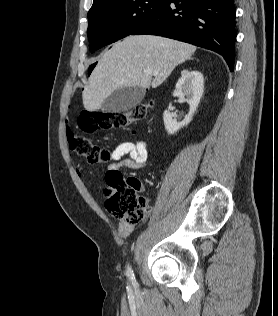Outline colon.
Wrapping results in <instances>:
<instances>
[{
  "mask_svg": "<svg viewBox=\"0 0 278 316\" xmlns=\"http://www.w3.org/2000/svg\"><path fill=\"white\" fill-rule=\"evenodd\" d=\"M148 106L140 105L129 111L102 113L83 111L78 117V127L85 133L97 130L122 128L139 121L147 115ZM70 148L90 163H104L110 160V152L84 136L68 132ZM105 206L114 217L128 224L141 222L149 211L147 200L139 195L141 183L134 177L124 178L119 171L106 174Z\"/></svg>",
  "mask_w": 278,
  "mask_h": 316,
  "instance_id": "5ec220e1",
  "label": "colon"
}]
</instances>
